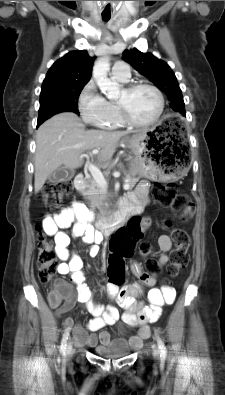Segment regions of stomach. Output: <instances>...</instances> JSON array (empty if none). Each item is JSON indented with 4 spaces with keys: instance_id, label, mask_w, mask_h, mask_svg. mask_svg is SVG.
Listing matches in <instances>:
<instances>
[{
    "instance_id": "stomach-1",
    "label": "stomach",
    "mask_w": 225,
    "mask_h": 395,
    "mask_svg": "<svg viewBox=\"0 0 225 395\" xmlns=\"http://www.w3.org/2000/svg\"><path fill=\"white\" fill-rule=\"evenodd\" d=\"M151 128L144 134H135L125 139V143L132 150L134 159L130 164V174L140 175L149 180H170L181 178L187 168L181 162V156L169 152L166 140Z\"/></svg>"
}]
</instances>
